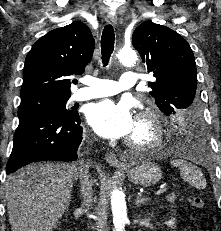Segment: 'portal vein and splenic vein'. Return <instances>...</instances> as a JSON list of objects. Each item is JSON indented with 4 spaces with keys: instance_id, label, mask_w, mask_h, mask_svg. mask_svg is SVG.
Wrapping results in <instances>:
<instances>
[{
    "instance_id": "18ae733b",
    "label": "portal vein and splenic vein",
    "mask_w": 221,
    "mask_h": 231,
    "mask_svg": "<svg viewBox=\"0 0 221 231\" xmlns=\"http://www.w3.org/2000/svg\"><path fill=\"white\" fill-rule=\"evenodd\" d=\"M167 190V188H163V189H160L158 191L155 192V196H160L162 195L163 193H165Z\"/></svg>"
}]
</instances>
